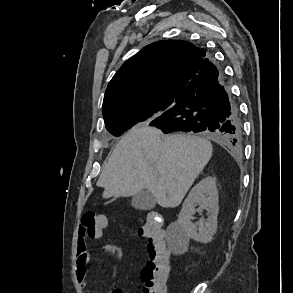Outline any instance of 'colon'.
I'll return each instance as SVG.
<instances>
[{
  "instance_id": "1",
  "label": "colon",
  "mask_w": 293,
  "mask_h": 293,
  "mask_svg": "<svg viewBox=\"0 0 293 293\" xmlns=\"http://www.w3.org/2000/svg\"><path fill=\"white\" fill-rule=\"evenodd\" d=\"M162 222V215L152 211L146 215L138 227V235L148 240V260L141 271L144 293L166 292L170 267L169 252L162 233ZM105 226L104 215L89 211L82 216L81 228L85 236L89 238H99Z\"/></svg>"
}]
</instances>
